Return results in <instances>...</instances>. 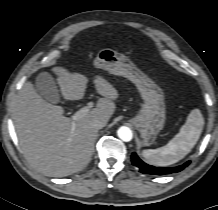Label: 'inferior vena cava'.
Returning a JSON list of instances; mask_svg holds the SVG:
<instances>
[{
    "instance_id": "inferior-vena-cava-1",
    "label": "inferior vena cava",
    "mask_w": 218,
    "mask_h": 210,
    "mask_svg": "<svg viewBox=\"0 0 218 210\" xmlns=\"http://www.w3.org/2000/svg\"><path fill=\"white\" fill-rule=\"evenodd\" d=\"M106 124H107V121L104 119H95L91 122L92 127L97 130L103 128L104 126H106Z\"/></svg>"
}]
</instances>
